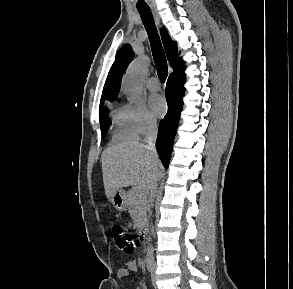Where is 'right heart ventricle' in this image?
Segmentation results:
<instances>
[{
    "label": "right heart ventricle",
    "mask_w": 293,
    "mask_h": 289,
    "mask_svg": "<svg viewBox=\"0 0 293 289\" xmlns=\"http://www.w3.org/2000/svg\"><path fill=\"white\" fill-rule=\"evenodd\" d=\"M112 141L135 140L138 137L129 107L119 105L112 110Z\"/></svg>",
    "instance_id": "e07e8e85"
}]
</instances>
